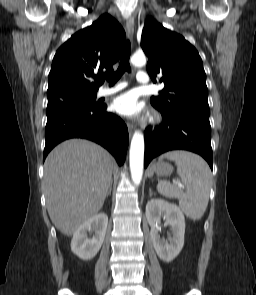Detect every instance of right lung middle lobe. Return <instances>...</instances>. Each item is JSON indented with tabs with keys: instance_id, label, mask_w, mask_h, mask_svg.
<instances>
[{
	"instance_id": "dd1d6c3e",
	"label": "right lung middle lobe",
	"mask_w": 256,
	"mask_h": 295,
	"mask_svg": "<svg viewBox=\"0 0 256 295\" xmlns=\"http://www.w3.org/2000/svg\"><path fill=\"white\" fill-rule=\"evenodd\" d=\"M97 92H70L53 100L56 101H73L85 106H96L100 103L96 101Z\"/></svg>"
}]
</instances>
